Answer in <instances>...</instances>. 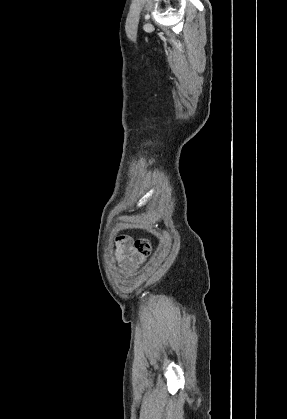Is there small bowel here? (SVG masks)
Returning a JSON list of instances; mask_svg holds the SVG:
<instances>
[{"label": "small bowel", "mask_w": 287, "mask_h": 419, "mask_svg": "<svg viewBox=\"0 0 287 419\" xmlns=\"http://www.w3.org/2000/svg\"><path fill=\"white\" fill-rule=\"evenodd\" d=\"M130 242L129 238L118 236L113 256V261L128 274L136 271L142 263L141 257L131 247Z\"/></svg>", "instance_id": "c3829d8e"}]
</instances>
